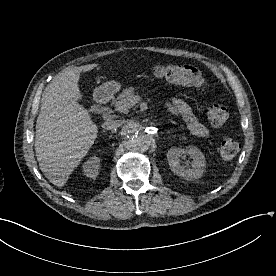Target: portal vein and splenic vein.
Listing matches in <instances>:
<instances>
[{
	"instance_id": "1",
	"label": "portal vein and splenic vein",
	"mask_w": 276,
	"mask_h": 276,
	"mask_svg": "<svg viewBox=\"0 0 276 276\" xmlns=\"http://www.w3.org/2000/svg\"><path fill=\"white\" fill-rule=\"evenodd\" d=\"M141 98L139 96H135L133 98L128 99L124 103H120L117 105V110L119 112H125L128 108L134 106L136 103L140 102Z\"/></svg>"
}]
</instances>
